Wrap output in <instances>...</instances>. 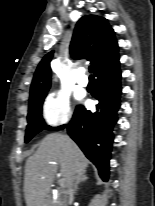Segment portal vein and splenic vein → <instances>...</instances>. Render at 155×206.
Wrapping results in <instances>:
<instances>
[{"instance_id": "1", "label": "portal vein and splenic vein", "mask_w": 155, "mask_h": 206, "mask_svg": "<svg viewBox=\"0 0 155 206\" xmlns=\"http://www.w3.org/2000/svg\"><path fill=\"white\" fill-rule=\"evenodd\" d=\"M60 186H61V187H64V186H65V180H64V179H61Z\"/></svg>"}]
</instances>
